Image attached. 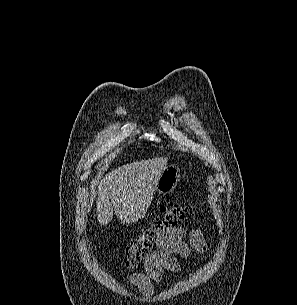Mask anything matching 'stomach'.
I'll use <instances>...</instances> for the list:
<instances>
[{"label":"stomach","mask_w":297,"mask_h":305,"mask_svg":"<svg viewBox=\"0 0 297 305\" xmlns=\"http://www.w3.org/2000/svg\"><path fill=\"white\" fill-rule=\"evenodd\" d=\"M180 177L181 171L177 165H167L157 180L155 191L164 195L171 193L176 188Z\"/></svg>","instance_id":"1"}]
</instances>
